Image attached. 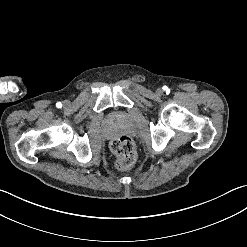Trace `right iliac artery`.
<instances>
[{
    "mask_svg": "<svg viewBox=\"0 0 247 247\" xmlns=\"http://www.w3.org/2000/svg\"><path fill=\"white\" fill-rule=\"evenodd\" d=\"M56 106H57V108H61L62 107L61 102L56 103Z\"/></svg>",
    "mask_w": 247,
    "mask_h": 247,
    "instance_id": "82829eb1",
    "label": "right iliac artery"
}]
</instances>
